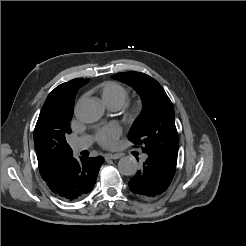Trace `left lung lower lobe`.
Masks as SVG:
<instances>
[{
	"label": "left lung lower lobe",
	"mask_w": 246,
	"mask_h": 246,
	"mask_svg": "<svg viewBox=\"0 0 246 246\" xmlns=\"http://www.w3.org/2000/svg\"><path fill=\"white\" fill-rule=\"evenodd\" d=\"M176 164L154 153H146L143 168L129 181L130 190L142 199L160 196L169 187Z\"/></svg>",
	"instance_id": "1"
}]
</instances>
